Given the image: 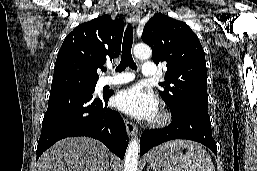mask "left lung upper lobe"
Returning a JSON list of instances; mask_svg holds the SVG:
<instances>
[{
    "mask_svg": "<svg viewBox=\"0 0 257 171\" xmlns=\"http://www.w3.org/2000/svg\"><path fill=\"white\" fill-rule=\"evenodd\" d=\"M142 40L152 49L153 61L166 62L168 71L160 96L171 111L184 106L208 108L205 53L196 34L182 21L162 13L146 23Z\"/></svg>",
    "mask_w": 257,
    "mask_h": 171,
    "instance_id": "obj_1",
    "label": "left lung upper lobe"
}]
</instances>
